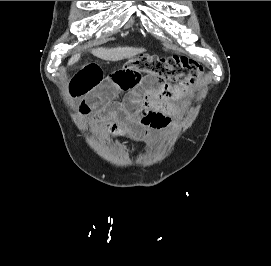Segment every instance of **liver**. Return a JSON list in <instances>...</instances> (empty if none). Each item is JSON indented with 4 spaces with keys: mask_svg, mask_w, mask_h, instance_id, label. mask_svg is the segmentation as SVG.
Listing matches in <instances>:
<instances>
[{
    "mask_svg": "<svg viewBox=\"0 0 271 266\" xmlns=\"http://www.w3.org/2000/svg\"><path fill=\"white\" fill-rule=\"evenodd\" d=\"M145 49L143 48H130V47H123V48H112V49H105V48H98L92 50V54L100 59L107 60V61H119L124 58H131L144 52ZM80 59V54H76L70 58L68 61V65H72L76 63Z\"/></svg>",
    "mask_w": 271,
    "mask_h": 266,
    "instance_id": "obj_1",
    "label": "liver"
}]
</instances>
